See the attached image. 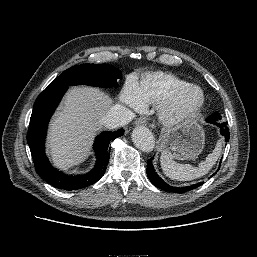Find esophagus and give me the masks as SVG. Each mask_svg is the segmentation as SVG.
I'll list each match as a JSON object with an SVG mask.
<instances>
[{"mask_svg":"<svg viewBox=\"0 0 257 257\" xmlns=\"http://www.w3.org/2000/svg\"><path fill=\"white\" fill-rule=\"evenodd\" d=\"M147 124V118L146 117H139L136 121H135V125L136 126H144Z\"/></svg>","mask_w":257,"mask_h":257,"instance_id":"34e87169","label":"esophagus"}]
</instances>
